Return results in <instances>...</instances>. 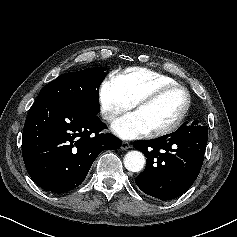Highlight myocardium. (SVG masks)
<instances>
[{"label": "myocardium", "instance_id": "myocardium-1", "mask_svg": "<svg viewBox=\"0 0 237 237\" xmlns=\"http://www.w3.org/2000/svg\"><path fill=\"white\" fill-rule=\"evenodd\" d=\"M173 89H179L185 94V105H184L183 109L181 110V112L179 113V115L174 119V121L171 124H169L166 127L160 128V129L149 131L148 134L151 137H160L163 135H167L179 127V125L182 123L185 116L187 115L188 110L191 105L190 92L188 91V89L185 86L178 84V83L161 85V86L154 88L152 91H150L146 95L142 96L141 98H139L133 105V108L136 110L137 108H139L141 106H144L146 104L153 102L154 100H156L158 97H160L165 92H167L169 90H173Z\"/></svg>", "mask_w": 237, "mask_h": 237}]
</instances>
